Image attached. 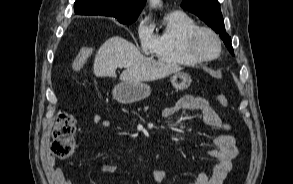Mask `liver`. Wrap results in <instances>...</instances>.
Here are the masks:
<instances>
[{
    "mask_svg": "<svg viewBox=\"0 0 293 184\" xmlns=\"http://www.w3.org/2000/svg\"><path fill=\"white\" fill-rule=\"evenodd\" d=\"M125 68L121 81H153L164 78L182 68L176 64L155 61L143 56L135 45L115 36L105 41L98 49L93 65L97 77L116 78V69Z\"/></svg>",
    "mask_w": 293,
    "mask_h": 184,
    "instance_id": "obj_1",
    "label": "liver"
}]
</instances>
